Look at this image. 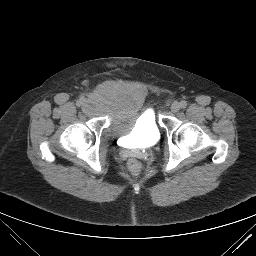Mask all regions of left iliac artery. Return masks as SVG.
<instances>
[{"label":"left iliac artery","mask_w":256,"mask_h":256,"mask_svg":"<svg viewBox=\"0 0 256 256\" xmlns=\"http://www.w3.org/2000/svg\"><path fill=\"white\" fill-rule=\"evenodd\" d=\"M180 106H181V108H186L187 107V102L186 101H181L180 102Z\"/></svg>","instance_id":"1"}]
</instances>
